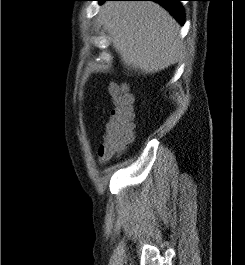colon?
Masks as SVG:
<instances>
[{"label":"colon","mask_w":245,"mask_h":265,"mask_svg":"<svg viewBox=\"0 0 245 265\" xmlns=\"http://www.w3.org/2000/svg\"><path fill=\"white\" fill-rule=\"evenodd\" d=\"M109 93L114 102L106 127L104 142L98 149L102 159H110L125 149L133 140V97L124 84L111 82Z\"/></svg>","instance_id":"5ec220e1"}]
</instances>
